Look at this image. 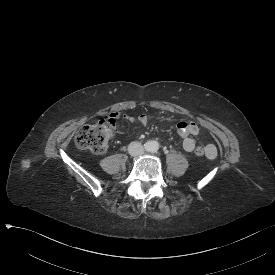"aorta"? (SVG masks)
<instances>
[{"label": "aorta", "mask_w": 275, "mask_h": 275, "mask_svg": "<svg viewBox=\"0 0 275 275\" xmlns=\"http://www.w3.org/2000/svg\"><path fill=\"white\" fill-rule=\"evenodd\" d=\"M160 148V144L158 141L156 140H151V141H148L146 142L145 144V149L148 151V152H151V153H155L159 150Z\"/></svg>", "instance_id": "1"}]
</instances>
